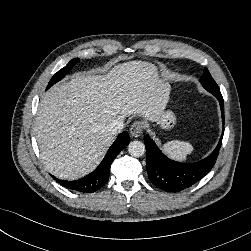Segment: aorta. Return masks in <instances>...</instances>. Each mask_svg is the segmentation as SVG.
<instances>
[{
	"label": "aorta",
	"mask_w": 251,
	"mask_h": 251,
	"mask_svg": "<svg viewBox=\"0 0 251 251\" xmlns=\"http://www.w3.org/2000/svg\"><path fill=\"white\" fill-rule=\"evenodd\" d=\"M128 152L131 156L141 157L145 153V145L141 141H132L128 145Z\"/></svg>",
	"instance_id": "1"
}]
</instances>
